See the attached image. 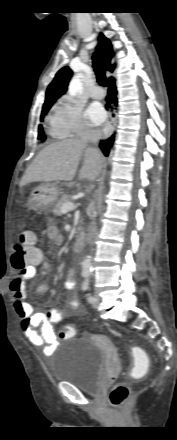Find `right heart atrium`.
Listing matches in <instances>:
<instances>
[{
    "label": "right heart atrium",
    "instance_id": "d8ad5b80",
    "mask_svg": "<svg viewBox=\"0 0 177 440\" xmlns=\"http://www.w3.org/2000/svg\"><path fill=\"white\" fill-rule=\"evenodd\" d=\"M52 111L54 124L61 137L78 136L91 130L82 104L68 95L60 97Z\"/></svg>",
    "mask_w": 177,
    "mask_h": 440
}]
</instances>
